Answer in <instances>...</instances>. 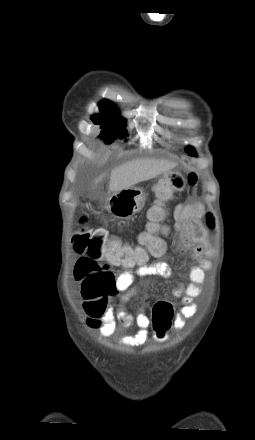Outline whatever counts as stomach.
I'll return each mask as SVG.
<instances>
[{
	"label": "stomach",
	"mask_w": 255,
	"mask_h": 440,
	"mask_svg": "<svg viewBox=\"0 0 255 440\" xmlns=\"http://www.w3.org/2000/svg\"><path fill=\"white\" fill-rule=\"evenodd\" d=\"M172 173L166 171L165 177ZM145 201L146 194L143 190L131 187L111 194L106 200L105 209L114 219L128 221L143 209Z\"/></svg>",
	"instance_id": "obj_1"
}]
</instances>
